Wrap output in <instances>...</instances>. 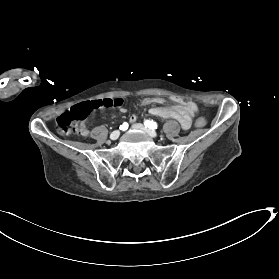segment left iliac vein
<instances>
[{
    "label": "left iliac vein",
    "mask_w": 279,
    "mask_h": 279,
    "mask_svg": "<svg viewBox=\"0 0 279 279\" xmlns=\"http://www.w3.org/2000/svg\"><path fill=\"white\" fill-rule=\"evenodd\" d=\"M134 129H138V130H142L144 132H146L148 135H150L151 137H157L158 133L155 130H152L150 128L145 127L143 124L141 123H136L132 126Z\"/></svg>",
    "instance_id": "obj_1"
}]
</instances>
